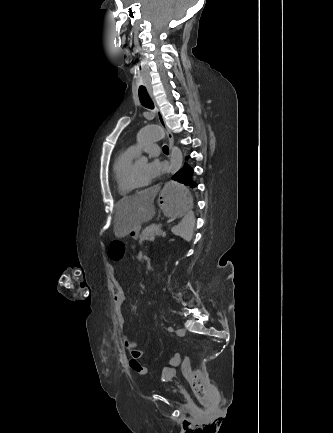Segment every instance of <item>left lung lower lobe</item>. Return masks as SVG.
<instances>
[{
    "instance_id": "left-lung-lower-lobe-1",
    "label": "left lung lower lobe",
    "mask_w": 333,
    "mask_h": 433,
    "mask_svg": "<svg viewBox=\"0 0 333 433\" xmlns=\"http://www.w3.org/2000/svg\"><path fill=\"white\" fill-rule=\"evenodd\" d=\"M190 158V156L186 157ZM193 168L187 163L184 164L183 168L180 169L172 178L185 186L186 190L189 191L197 186L196 182L192 179Z\"/></svg>"
}]
</instances>
